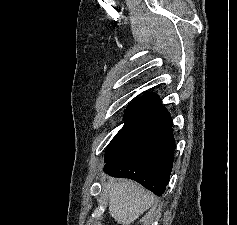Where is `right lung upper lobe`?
I'll return each instance as SVG.
<instances>
[{
	"label": "right lung upper lobe",
	"instance_id": "right-lung-upper-lobe-1",
	"mask_svg": "<svg viewBox=\"0 0 237 225\" xmlns=\"http://www.w3.org/2000/svg\"><path fill=\"white\" fill-rule=\"evenodd\" d=\"M159 105L161 102L157 94L146 93L127 106L124 112V121L127 123Z\"/></svg>",
	"mask_w": 237,
	"mask_h": 225
}]
</instances>
